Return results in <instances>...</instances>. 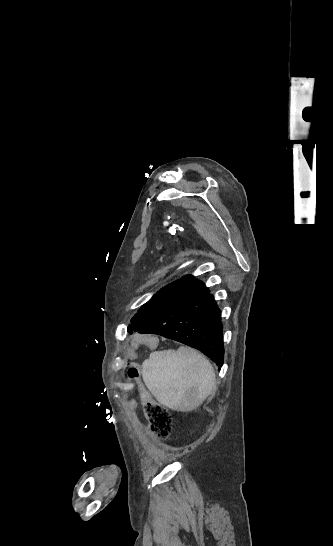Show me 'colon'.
<instances>
[{"instance_id": "obj_1", "label": "colon", "mask_w": 333, "mask_h": 546, "mask_svg": "<svg viewBox=\"0 0 333 546\" xmlns=\"http://www.w3.org/2000/svg\"><path fill=\"white\" fill-rule=\"evenodd\" d=\"M125 370L127 372L126 383L128 385H136L140 393V397L145 402L144 414L148 421V427L151 433L158 439H166L172 429V416L168 409L160 403L153 400V395L149 390V386L145 380L141 378V369L135 365L134 359L126 360ZM140 379V380H139Z\"/></svg>"}]
</instances>
